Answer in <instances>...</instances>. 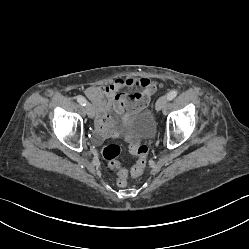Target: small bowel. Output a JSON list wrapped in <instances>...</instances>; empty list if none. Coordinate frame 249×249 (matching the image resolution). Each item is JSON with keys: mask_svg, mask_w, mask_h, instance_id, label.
I'll return each mask as SVG.
<instances>
[{"mask_svg": "<svg viewBox=\"0 0 249 249\" xmlns=\"http://www.w3.org/2000/svg\"><path fill=\"white\" fill-rule=\"evenodd\" d=\"M127 88H138L142 91L127 93ZM155 90L154 83L147 78H119L109 85L90 86L85 94L99 112L98 127L103 133L114 114L146 107Z\"/></svg>", "mask_w": 249, "mask_h": 249, "instance_id": "1", "label": "small bowel"}]
</instances>
